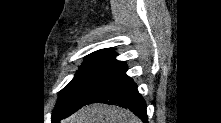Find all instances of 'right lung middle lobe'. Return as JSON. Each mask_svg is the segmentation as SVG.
I'll use <instances>...</instances> for the list:
<instances>
[{
	"label": "right lung middle lobe",
	"mask_w": 221,
	"mask_h": 123,
	"mask_svg": "<svg viewBox=\"0 0 221 123\" xmlns=\"http://www.w3.org/2000/svg\"><path fill=\"white\" fill-rule=\"evenodd\" d=\"M116 54L96 51L85 58L72 81L60 92L54 113L69 116L89 101L94 90L108 77L125 66Z\"/></svg>",
	"instance_id": "dd1d6c3e"
}]
</instances>
